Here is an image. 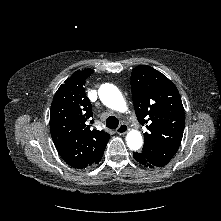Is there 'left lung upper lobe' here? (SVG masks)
Instances as JSON below:
<instances>
[{"mask_svg": "<svg viewBox=\"0 0 221 221\" xmlns=\"http://www.w3.org/2000/svg\"><path fill=\"white\" fill-rule=\"evenodd\" d=\"M135 113L146 126L141 154L153 165L164 167L178 150L185 125V112L178 89L165 75L141 65L131 73Z\"/></svg>", "mask_w": 221, "mask_h": 221, "instance_id": "left-lung-upper-lobe-1", "label": "left lung upper lobe"}]
</instances>
